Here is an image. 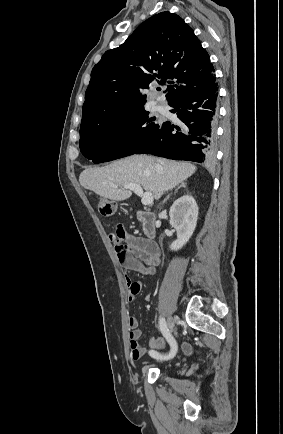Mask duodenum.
Returning <instances> with one entry per match:
<instances>
[{"instance_id": "duodenum-1", "label": "duodenum", "mask_w": 283, "mask_h": 434, "mask_svg": "<svg viewBox=\"0 0 283 434\" xmlns=\"http://www.w3.org/2000/svg\"><path fill=\"white\" fill-rule=\"evenodd\" d=\"M136 216L142 225V230L146 237V240L151 244L156 245V243L154 242L157 229V221L155 215L152 212L139 210L137 211ZM123 233L125 232L123 231Z\"/></svg>"}]
</instances>
